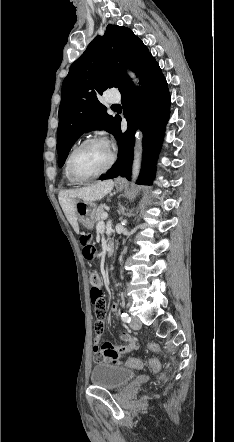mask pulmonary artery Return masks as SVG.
<instances>
[{
  "instance_id": "obj_1",
  "label": "pulmonary artery",
  "mask_w": 234,
  "mask_h": 442,
  "mask_svg": "<svg viewBox=\"0 0 234 442\" xmlns=\"http://www.w3.org/2000/svg\"><path fill=\"white\" fill-rule=\"evenodd\" d=\"M120 100V97L118 95H110L107 98L108 103H116Z\"/></svg>"
}]
</instances>
